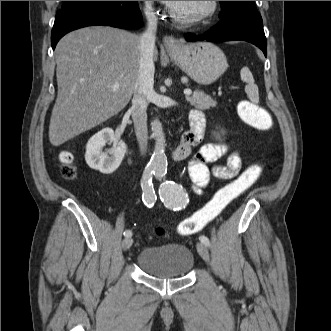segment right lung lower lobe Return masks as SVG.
<instances>
[{
	"instance_id": "98d812e1",
	"label": "right lung lower lobe",
	"mask_w": 331,
	"mask_h": 331,
	"mask_svg": "<svg viewBox=\"0 0 331 331\" xmlns=\"http://www.w3.org/2000/svg\"><path fill=\"white\" fill-rule=\"evenodd\" d=\"M137 1H92L61 9L51 35L53 50L66 33L86 26L104 25L125 29L139 28L142 23Z\"/></svg>"
}]
</instances>
